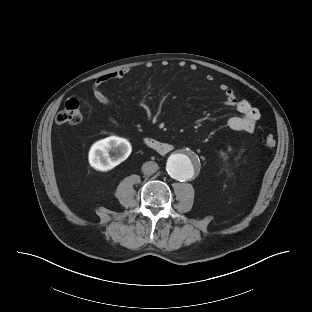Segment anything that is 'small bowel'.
<instances>
[{
  "instance_id": "obj_1",
  "label": "small bowel",
  "mask_w": 312,
  "mask_h": 312,
  "mask_svg": "<svg viewBox=\"0 0 312 312\" xmlns=\"http://www.w3.org/2000/svg\"><path fill=\"white\" fill-rule=\"evenodd\" d=\"M130 71L131 68H124L99 76L92 87L95 99L102 105L111 107L113 102L104 93L102 86L110 81L124 78ZM208 79L211 80L212 76H208ZM219 89L224 94V104L237 109L241 114L240 116L230 117L227 121L228 127L234 131L253 132L261 117L259 110L252 106L249 101L239 99L227 85L221 84Z\"/></svg>"
}]
</instances>
